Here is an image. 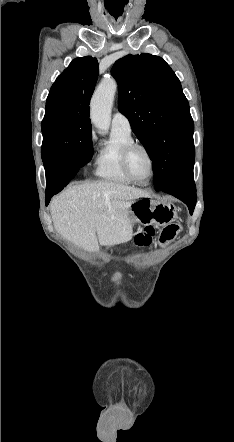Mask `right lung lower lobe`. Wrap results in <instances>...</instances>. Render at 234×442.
Listing matches in <instances>:
<instances>
[{
    "label": "right lung lower lobe",
    "mask_w": 234,
    "mask_h": 442,
    "mask_svg": "<svg viewBox=\"0 0 234 442\" xmlns=\"http://www.w3.org/2000/svg\"><path fill=\"white\" fill-rule=\"evenodd\" d=\"M46 172V205L51 197L60 192L70 180L77 174L80 167L75 165L68 157L48 161L44 164Z\"/></svg>",
    "instance_id": "98d812e1"
}]
</instances>
